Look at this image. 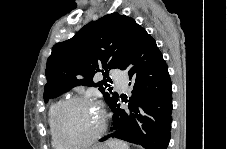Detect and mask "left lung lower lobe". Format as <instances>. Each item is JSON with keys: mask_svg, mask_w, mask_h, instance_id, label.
<instances>
[{"mask_svg": "<svg viewBox=\"0 0 227 149\" xmlns=\"http://www.w3.org/2000/svg\"><path fill=\"white\" fill-rule=\"evenodd\" d=\"M133 83L128 109L121 99L110 107L111 133L100 141L118 138L145 149H167L172 122V83L168 67L155 40L141 26L137 28L124 69ZM131 84V83H130Z\"/></svg>", "mask_w": 227, "mask_h": 149, "instance_id": "left-lung-lower-lobe-1", "label": "left lung lower lobe"}]
</instances>
